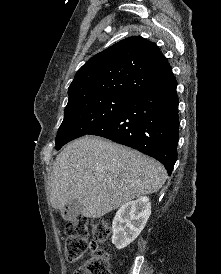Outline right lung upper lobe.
Instances as JSON below:
<instances>
[{"label":"right lung upper lobe","mask_w":221,"mask_h":274,"mask_svg":"<svg viewBox=\"0 0 221 274\" xmlns=\"http://www.w3.org/2000/svg\"><path fill=\"white\" fill-rule=\"evenodd\" d=\"M172 71L158 46L129 37L89 59L69 86V101L93 96L135 97Z\"/></svg>","instance_id":"cb5924a9"}]
</instances>
